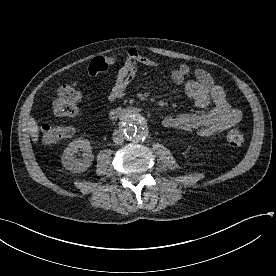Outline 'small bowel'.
<instances>
[{"label":"small bowel","mask_w":276,"mask_h":276,"mask_svg":"<svg viewBox=\"0 0 276 276\" xmlns=\"http://www.w3.org/2000/svg\"><path fill=\"white\" fill-rule=\"evenodd\" d=\"M117 63L116 56H98L88 66V75L91 78ZM154 66L156 63L143 56L135 48H130L119 68L115 71L114 85L105 93L108 101H116L125 96L126 90L134 80L137 65ZM191 69L181 64L172 69L171 79L176 85H182L186 95L201 109L211 103L214 108L204 113H183L175 116H166L162 124L168 129H179L188 132L196 131L201 136H213L235 125L242 119V113L228 102L222 86L215 83L212 76L204 69L194 70V80L186 81Z\"/></svg>","instance_id":"1"}]
</instances>
